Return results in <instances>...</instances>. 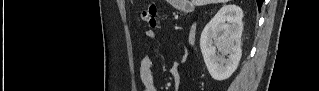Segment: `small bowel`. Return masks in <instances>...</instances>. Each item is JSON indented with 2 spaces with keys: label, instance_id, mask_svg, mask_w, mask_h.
<instances>
[{
  "label": "small bowel",
  "instance_id": "small-bowel-1",
  "mask_svg": "<svg viewBox=\"0 0 319 91\" xmlns=\"http://www.w3.org/2000/svg\"><path fill=\"white\" fill-rule=\"evenodd\" d=\"M145 36L148 40H154L156 33L153 30H147ZM152 57L150 55L145 56L139 65L140 82L144 91H156L153 78L151 74ZM179 63H175L171 67V74L173 75L176 84L179 83Z\"/></svg>",
  "mask_w": 319,
  "mask_h": 91
}]
</instances>
